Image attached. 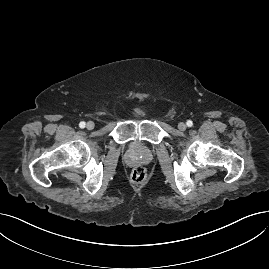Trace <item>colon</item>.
<instances>
[{"instance_id": "5ec220e1", "label": "colon", "mask_w": 269, "mask_h": 269, "mask_svg": "<svg viewBox=\"0 0 269 269\" xmlns=\"http://www.w3.org/2000/svg\"><path fill=\"white\" fill-rule=\"evenodd\" d=\"M148 176L147 168L143 165H137L132 169L131 180L135 184H142Z\"/></svg>"}]
</instances>
